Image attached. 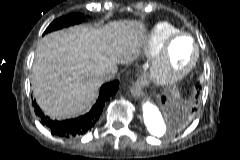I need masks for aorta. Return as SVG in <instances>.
<instances>
[{"instance_id": "1", "label": "aorta", "mask_w": 240, "mask_h": 160, "mask_svg": "<svg viewBox=\"0 0 240 160\" xmlns=\"http://www.w3.org/2000/svg\"><path fill=\"white\" fill-rule=\"evenodd\" d=\"M142 118L147 130L155 136L164 134L166 126L159 108L150 101L142 105Z\"/></svg>"}]
</instances>
